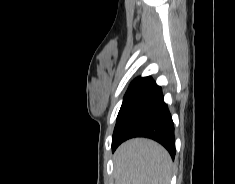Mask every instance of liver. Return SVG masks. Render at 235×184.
I'll use <instances>...</instances> for the list:
<instances>
[{"instance_id": "1", "label": "liver", "mask_w": 235, "mask_h": 184, "mask_svg": "<svg viewBox=\"0 0 235 184\" xmlns=\"http://www.w3.org/2000/svg\"><path fill=\"white\" fill-rule=\"evenodd\" d=\"M115 184H170L172 160L165 148L146 138L121 144L114 154Z\"/></svg>"}]
</instances>
